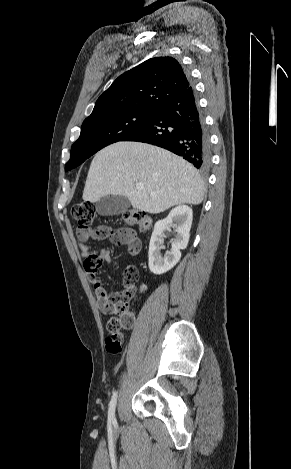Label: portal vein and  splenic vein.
<instances>
[{
	"label": "portal vein and splenic vein",
	"mask_w": 291,
	"mask_h": 469,
	"mask_svg": "<svg viewBox=\"0 0 291 469\" xmlns=\"http://www.w3.org/2000/svg\"><path fill=\"white\" fill-rule=\"evenodd\" d=\"M137 190H143L144 185L143 184H137L136 185ZM155 193L151 192V195H154Z\"/></svg>",
	"instance_id": "1"
}]
</instances>
